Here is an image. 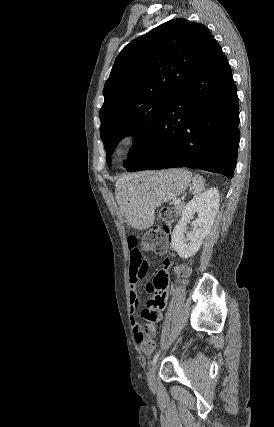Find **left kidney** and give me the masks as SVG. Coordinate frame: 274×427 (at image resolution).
<instances>
[{
  "mask_svg": "<svg viewBox=\"0 0 274 427\" xmlns=\"http://www.w3.org/2000/svg\"><path fill=\"white\" fill-rule=\"evenodd\" d=\"M219 200L218 190L210 188V190H207L201 196H197V198H194V200H191L185 206L182 217L179 219L177 225H175L171 235L172 247L180 257L187 259V257H191V255H194L200 249V245L204 237L210 233L213 221L217 215ZM195 214L198 217L192 223L193 231L184 235L187 223H190V219Z\"/></svg>",
  "mask_w": 274,
  "mask_h": 427,
  "instance_id": "5707ae66",
  "label": "left kidney"
}]
</instances>
